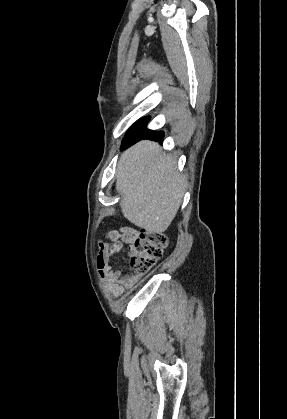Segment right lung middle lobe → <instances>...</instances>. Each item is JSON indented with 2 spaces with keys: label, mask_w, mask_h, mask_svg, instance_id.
Returning a JSON list of instances; mask_svg holds the SVG:
<instances>
[{
  "label": "right lung middle lobe",
  "mask_w": 287,
  "mask_h": 419,
  "mask_svg": "<svg viewBox=\"0 0 287 419\" xmlns=\"http://www.w3.org/2000/svg\"><path fill=\"white\" fill-rule=\"evenodd\" d=\"M149 120L150 117L141 118L128 129L122 141L121 149L127 147L128 144H130L135 138L139 137L148 130L147 124Z\"/></svg>",
  "instance_id": "dd1d6c3e"
}]
</instances>
